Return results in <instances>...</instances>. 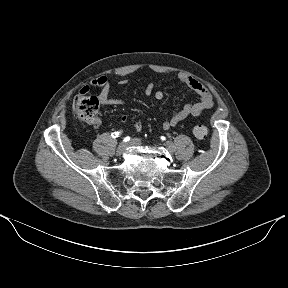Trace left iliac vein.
Returning <instances> with one entry per match:
<instances>
[{
  "instance_id": "1",
  "label": "left iliac vein",
  "mask_w": 288,
  "mask_h": 288,
  "mask_svg": "<svg viewBox=\"0 0 288 288\" xmlns=\"http://www.w3.org/2000/svg\"><path fill=\"white\" fill-rule=\"evenodd\" d=\"M173 148V146H172V143H167V149L170 151V152H172V149Z\"/></svg>"
}]
</instances>
